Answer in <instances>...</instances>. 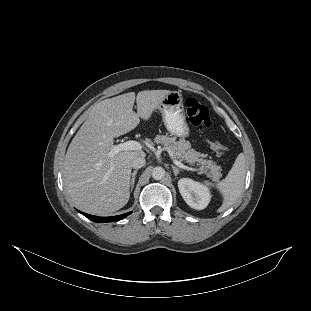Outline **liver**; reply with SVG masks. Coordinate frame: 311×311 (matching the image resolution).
Returning <instances> with one entry per match:
<instances>
[{"label":"liver","mask_w":311,"mask_h":311,"mask_svg":"<svg viewBox=\"0 0 311 311\" xmlns=\"http://www.w3.org/2000/svg\"><path fill=\"white\" fill-rule=\"evenodd\" d=\"M170 90L124 93L97 103L71 141L63 163V183L75 205L86 213L108 215L130 198L131 161L142 150L109 157L114 138L148 120ZM137 104V112L133 110Z\"/></svg>","instance_id":"obj_1"}]
</instances>
